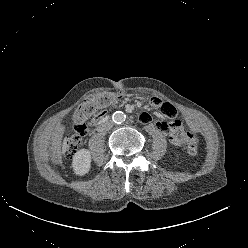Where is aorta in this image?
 Returning <instances> with one entry per match:
<instances>
[{
  "label": "aorta",
  "instance_id": "aorta-1",
  "mask_svg": "<svg viewBox=\"0 0 248 248\" xmlns=\"http://www.w3.org/2000/svg\"><path fill=\"white\" fill-rule=\"evenodd\" d=\"M112 119L115 123H122L125 121L126 115L122 111H116L113 114Z\"/></svg>",
  "mask_w": 248,
  "mask_h": 248
}]
</instances>
